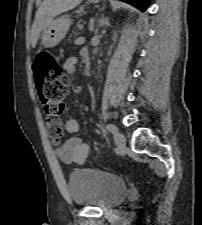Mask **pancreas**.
<instances>
[{"label": "pancreas", "instance_id": "1", "mask_svg": "<svg viewBox=\"0 0 202 225\" xmlns=\"http://www.w3.org/2000/svg\"><path fill=\"white\" fill-rule=\"evenodd\" d=\"M77 27H78V28H82V25H81L80 23H78V24H77ZM73 35H74V36H76V35H77V33H76V32H74V34H73Z\"/></svg>", "mask_w": 202, "mask_h": 225}]
</instances>
